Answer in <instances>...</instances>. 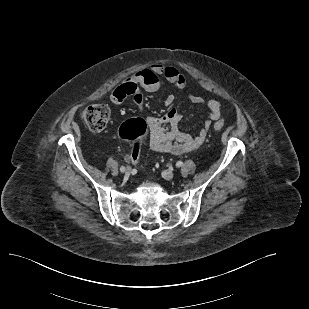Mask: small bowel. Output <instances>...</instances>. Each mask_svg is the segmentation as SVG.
Segmentation results:
<instances>
[{
    "label": "small bowel",
    "instance_id": "obj_1",
    "mask_svg": "<svg viewBox=\"0 0 309 309\" xmlns=\"http://www.w3.org/2000/svg\"><path fill=\"white\" fill-rule=\"evenodd\" d=\"M166 79L178 89L186 87V79L176 68L154 64L142 69L121 82L112 92L110 100L114 104L131 97L134 103L142 108L143 97L140 88L148 92H157L161 88V79ZM187 98L194 104L204 106L209 111V118L196 135H191L180 129L181 115L175 108H170L161 116H150L146 119L149 131V142L152 150L174 155L192 151L200 147L212 124L220 119L222 107L217 100H204L201 96L189 91ZM174 98L169 96L166 105L171 106ZM127 160L131 161L130 156Z\"/></svg>",
    "mask_w": 309,
    "mask_h": 309
}]
</instances>
